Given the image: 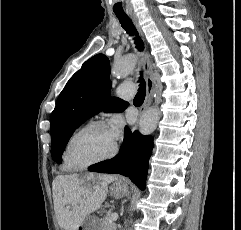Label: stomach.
I'll list each match as a JSON object with an SVG mask.
<instances>
[{
    "label": "stomach",
    "instance_id": "0dacf381",
    "mask_svg": "<svg viewBox=\"0 0 241 230\" xmlns=\"http://www.w3.org/2000/svg\"><path fill=\"white\" fill-rule=\"evenodd\" d=\"M85 178L88 180V176ZM78 180L80 183L84 182L83 180ZM128 190V184L121 179L114 181L109 188L110 195L117 199L125 196L128 193ZM77 230H100V225L92 219H85Z\"/></svg>",
    "mask_w": 241,
    "mask_h": 230
}]
</instances>
